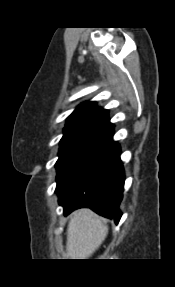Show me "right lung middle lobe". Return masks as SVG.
<instances>
[{
    "instance_id": "right-lung-middle-lobe-1",
    "label": "right lung middle lobe",
    "mask_w": 175,
    "mask_h": 287,
    "mask_svg": "<svg viewBox=\"0 0 175 287\" xmlns=\"http://www.w3.org/2000/svg\"><path fill=\"white\" fill-rule=\"evenodd\" d=\"M114 128L110 126H88L64 130L60 141L57 169V186L77 164L110 137Z\"/></svg>"
}]
</instances>
